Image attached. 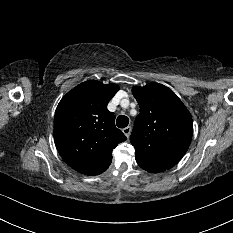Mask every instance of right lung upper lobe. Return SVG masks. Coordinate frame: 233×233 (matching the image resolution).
Wrapping results in <instances>:
<instances>
[{"label": "right lung upper lobe", "instance_id": "cb5924a9", "mask_svg": "<svg viewBox=\"0 0 233 233\" xmlns=\"http://www.w3.org/2000/svg\"><path fill=\"white\" fill-rule=\"evenodd\" d=\"M119 90L116 84L88 80L73 88L59 102L54 118V140L63 160L85 175H99L112 161V150L126 136L116 128L107 109Z\"/></svg>", "mask_w": 233, "mask_h": 233}]
</instances>
